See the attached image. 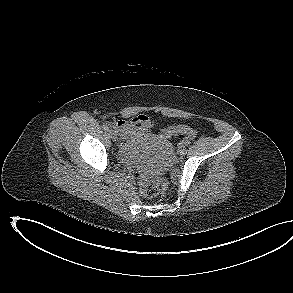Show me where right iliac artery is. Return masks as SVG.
Wrapping results in <instances>:
<instances>
[{
  "instance_id": "1",
  "label": "right iliac artery",
  "mask_w": 293,
  "mask_h": 293,
  "mask_svg": "<svg viewBox=\"0 0 293 293\" xmlns=\"http://www.w3.org/2000/svg\"><path fill=\"white\" fill-rule=\"evenodd\" d=\"M102 128H103L105 131H108V130H109V125L104 123V124L102 125Z\"/></svg>"
}]
</instances>
